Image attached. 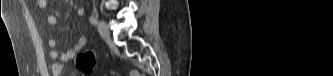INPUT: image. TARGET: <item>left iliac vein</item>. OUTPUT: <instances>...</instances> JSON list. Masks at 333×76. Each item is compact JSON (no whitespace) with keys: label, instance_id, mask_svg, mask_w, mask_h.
I'll return each instance as SVG.
<instances>
[{"label":"left iliac vein","instance_id":"1","mask_svg":"<svg viewBox=\"0 0 333 76\" xmlns=\"http://www.w3.org/2000/svg\"><path fill=\"white\" fill-rule=\"evenodd\" d=\"M98 31L103 39L107 40L110 38L109 26L105 21H99Z\"/></svg>","mask_w":333,"mask_h":76}]
</instances>
